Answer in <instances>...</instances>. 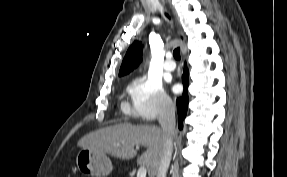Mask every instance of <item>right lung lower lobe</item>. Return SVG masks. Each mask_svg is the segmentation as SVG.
Listing matches in <instances>:
<instances>
[{
  "label": "right lung lower lobe",
  "mask_w": 287,
  "mask_h": 177,
  "mask_svg": "<svg viewBox=\"0 0 287 177\" xmlns=\"http://www.w3.org/2000/svg\"><path fill=\"white\" fill-rule=\"evenodd\" d=\"M182 83L184 86V91L182 94V97L177 99V112H178V125L179 128L181 129L183 127V120L186 117L187 114V107H188V102H189V97H188V69L185 64L184 66V71L182 75Z\"/></svg>",
  "instance_id": "obj_1"
}]
</instances>
